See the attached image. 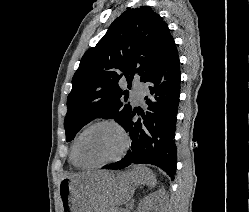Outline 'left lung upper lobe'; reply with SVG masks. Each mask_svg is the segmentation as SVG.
<instances>
[{
	"mask_svg": "<svg viewBox=\"0 0 249 212\" xmlns=\"http://www.w3.org/2000/svg\"><path fill=\"white\" fill-rule=\"evenodd\" d=\"M171 41L167 24L148 6L127 9L116 18L83 55L73 76L64 122L66 141L98 117L122 124L132 108L122 100H127L128 90L118 86L119 80L126 77L130 89L134 75L142 80Z\"/></svg>",
	"mask_w": 249,
	"mask_h": 212,
	"instance_id": "left-lung-upper-lobe-1",
	"label": "left lung upper lobe"
}]
</instances>
